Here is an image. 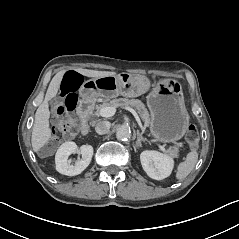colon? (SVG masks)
<instances>
[{
    "instance_id": "obj_1",
    "label": "colon",
    "mask_w": 239,
    "mask_h": 239,
    "mask_svg": "<svg viewBox=\"0 0 239 239\" xmlns=\"http://www.w3.org/2000/svg\"><path fill=\"white\" fill-rule=\"evenodd\" d=\"M83 82V78L75 73L65 74L61 82L62 102L55 107V123L53 127L54 140L59 142L71 138L77 133V120L75 111L77 108V90ZM186 141L194 149L198 144V131L195 126L190 125L185 133Z\"/></svg>"
}]
</instances>
